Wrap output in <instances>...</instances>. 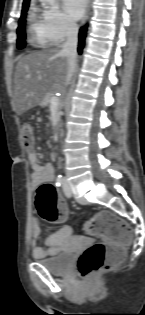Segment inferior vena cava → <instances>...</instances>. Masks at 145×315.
<instances>
[{
    "label": "inferior vena cava",
    "instance_id": "inferior-vena-cava-1",
    "mask_svg": "<svg viewBox=\"0 0 145 315\" xmlns=\"http://www.w3.org/2000/svg\"><path fill=\"white\" fill-rule=\"evenodd\" d=\"M78 26L68 23L66 30V41L63 43L61 54L67 57L68 74L67 83L70 82L77 62Z\"/></svg>",
    "mask_w": 145,
    "mask_h": 315
}]
</instances>
